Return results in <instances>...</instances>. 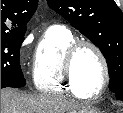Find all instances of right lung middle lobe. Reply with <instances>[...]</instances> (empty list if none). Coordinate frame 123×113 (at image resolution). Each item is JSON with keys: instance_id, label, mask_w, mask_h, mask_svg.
<instances>
[{"instance_id": "right-lung-middle-lobe-1", "label": "right lung middle lobe", "mask_w": 123, "mask_h": 113, "mask_svg": "<svg viewBox=\"0 0 123 113\" xmlns=\"http://www.w3.org/2000/svg\"><path fill=\"white\" fill-rule=\"evenodd\" d=\"M23 40L24 35L1 37V88L23 87L26 84L19 59Z\"/></svg>"}]
</instances>
